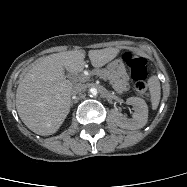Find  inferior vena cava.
<instances>
[{"label":"inferior vena cava","mask_w":187,"mask_h":187,"mask_svg":"<svg viewBox=\"0 0 187 187\" xmlns=\"http://www.w3.org/2000/svg\"><path fill=\"white\" fill-rule=\"evenodd\" d=\"M82 90H83V85L75 84V85H73V87L71 89V95L74 96V95L80 93Z\"/></svg>","instance_id":"inferior-vena-cava-1"}]
</instances>
